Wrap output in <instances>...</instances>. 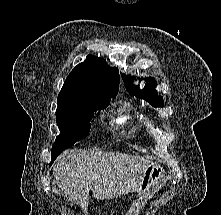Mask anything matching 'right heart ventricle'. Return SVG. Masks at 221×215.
I'll return each instance as SVG.
<instances>
[{
  "label": "right heart ventricle",
  "instance_id": "right-heart-ventricle-1",
  "mask_svg": "<svg viewBox=\"0 0 221 215\" xmlns=\"http://www.w3.org/2000/svg\"><path fill=\"white\" fill-rule=\"evenodd\" d=\"M113 123L119 128H129L136 126V122L126 106L120 109L118 115L113 120Z\"/></svg>",
  "mask_w": 221,
  "mask_h": 215
}]
</instances>
